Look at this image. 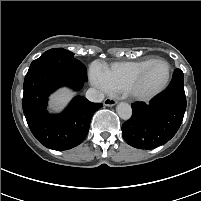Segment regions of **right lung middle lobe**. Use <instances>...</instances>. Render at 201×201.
Listing matches in <instances>:
<instances>
[{"label": "right lung middle lobe", "mask_w": 201, "mask_h": 201, "mask_svg": "<svg viewBox=\"0 0 201 201\" xmlns=\"http://www.w3.org/2000/svg\"><path fill=\"white\" fill-rule=\"evenodd\" d=\"M49 54H61L66 57H69V58H74L73 57L74 54L72 52L65 50V49H61V48L50 49V50L46 51L45 53H43V55H49ZM82 73L84 76H87L86 68L82 67Z\"/></svg>", "instance_id": "obj_1"}]
</instances>
